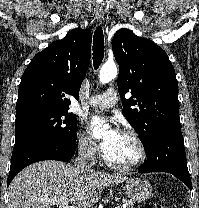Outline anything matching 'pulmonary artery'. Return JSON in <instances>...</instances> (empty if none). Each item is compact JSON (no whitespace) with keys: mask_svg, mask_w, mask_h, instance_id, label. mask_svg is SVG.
Instances as JSON below:
<instances>
[{"mask_svg":"<svg viewBox=\"0 0 199 208\" xmlns=\"http://www.w3.org/2000/svg\"><path fill=\"white\" fill-rule=\"evenodd\" d=\"M118 100V93L115 89L109 88L105 92L92 96L87 104L99 108H111Z\"/></svg>","mask_w":199,"mask_h":208,"instance_id":"obj_1","label":"pulmonary artery"}]
</instances>
